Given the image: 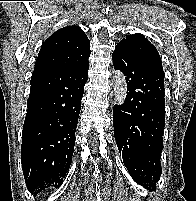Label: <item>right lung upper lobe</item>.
<instances>
[{
	"label": "right lung upper lobe",
	"mask_w": 196,
	"mask_h": 201,
	"mask_svg": "<svg viewBox=\"0 0 196 201\" xmlns=\"http://www.w3.org/2000/svg\"><path fill=\"white\" fill-rule=\"evenodd\" d=\"M90 53V41L80 27H63L42 44L33 73L83 66Z\"/></svg>",
	"instance_id": "right-lung-upper-lobe-1"
}]
</instances>
